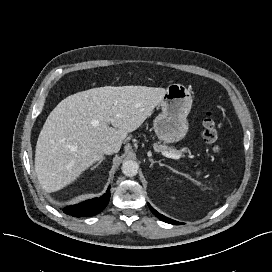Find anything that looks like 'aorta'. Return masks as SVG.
<instances>
[{
  "mask_svg": "<svg viewBox=\"0 0 272 272\" xmlns=\"http://www.w3.org/2000/svg\"><path fill=\"white\" fill-rule=\"evenodd\" d=\"M138 163L133 160H126L122 164V173L127 177H133L138 173Z\"/></svg>",
  "mask_w": 272,
  "mask_h": 272,
  "instance_id": "obj_1",
  "label": "aorta"
}]
</instances>
